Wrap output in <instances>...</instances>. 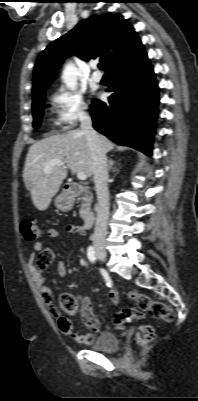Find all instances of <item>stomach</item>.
<instances>
[{"instance_id":"1","label":"stomach","mask_w":198,"mask_h":401,"mask_svg":"<svg viewBox=\"0 0 198 401\" xmlns=\"http://www.w3.org/2000/svg\"><path fill=\"white\" fill-rule=\"evenodd\" d=\"M73 204V199L65 192H62L55 198V206L61 211L71 210Z\"/></svg>"}]
</instances>
